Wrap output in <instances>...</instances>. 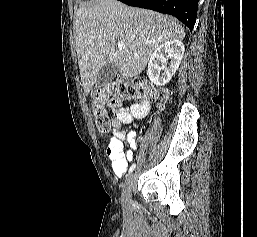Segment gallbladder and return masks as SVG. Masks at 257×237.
Instances as JSON below:
<instances>
[{"label":"gallbladder","mask_w":257,"mask_h":237,"mask_svg":"<svg viewBox=\"0 0 257 237\" xmlns=\"http://www.w3.org/2000/svg\"><path fill=\"white\" fill-rule=\"evenodd\" d=\"M118 72V68L114 63H107L104 65L95 79V89L103 88L105 85L110 83Z\"/></svg>","instance_id":"bac80fb5"}]
</instances>
